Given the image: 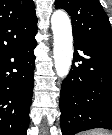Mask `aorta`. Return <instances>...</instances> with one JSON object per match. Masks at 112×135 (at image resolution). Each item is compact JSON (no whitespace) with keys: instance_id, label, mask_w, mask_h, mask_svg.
<instances>
[{"instance_id":"1","label":"aorta","mask_w":112,"mask_h":135,"mask_svg":"<svg viewBox=\"0 0 112 135\" xmlns=\"http://www.w3.org/2000/svg\"><path fill=\"white\" fill-rule=\"evenodd\" d=\"M54 39V63L56 73L65 78L70 70L73 58V36L69 16L62 10H56L51 17Z\"/></svg>"}]
</instances>
